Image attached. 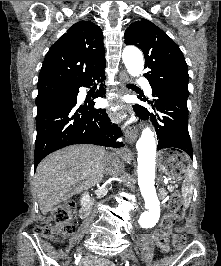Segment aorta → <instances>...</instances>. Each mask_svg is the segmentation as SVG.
<instances>
[{"instance_id": "obj_1", "label": "aorta", "mask_w": 221, "mask_h": 266, "mask_svg": "<svg viewBox=\"0 0 221 266\" xmlns=\"http://www.w3.org/2000/svg\"><path fill=\"white\" fill-rule=\"evenodd\" d=\"M122 59L128 73L131 76H139L144 68L142 53L134 47H126L122 53ZM138 151V185L145 200L147 209L140 216L142 227L153 226L160 215V202L155 189V157L156 141L154 132L150 128L142 131L141 137L136 143Z\"/></svg>"}]
</instances>
